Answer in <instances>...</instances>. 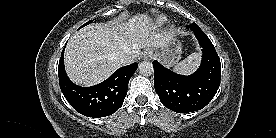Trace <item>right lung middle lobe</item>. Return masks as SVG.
Instances as JSON below:
<instances>
[{
  "label": "right lung middle lobe",
  "instance_id": "1",
  "mask_svg": "<svg viewBox=\"0 0 276 138\" xmlns=\"http://www.w3.org/2000/svg\"><path fill=\"white\" fill-rule=\"evenodd\" d=\"M89 23H90V21H89V22H87V23H85L83 26H85V25H87V24H89ZM83 26H82V27H83Z\"/></svg>",
  "mask_w": 276,
  "mask_h": 138
}]
</instances>
